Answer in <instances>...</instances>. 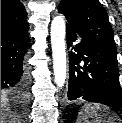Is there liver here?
Wrapping results in <instances>:
<instances>
[{"label":"liver","mask_w":122,"mask_h":123,"mask_svg":"<svg viewBox=\"0 0 122 123\" xmlns=\"http://www.w3.org/2000/svg\"><path fill=\"white\" fill-rule=\"evenodd\" d=\"M14 116L12 114H7L1 110V123H6L9 120H6V118H13Z\"/></svg>","instance_id":"obj_1"}]
</instances>
